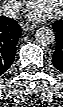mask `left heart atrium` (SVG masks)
Masks as SVG:
<instances>
[{
    "mask_svg": "<svg viewBox=\"0 0 63 107\" xmlns=\"http://www.w3.org/2000/svg\"><path fill=\"white\" fill-rule=\"evenodd\" d=\"M46 11L38 8V7H33L31 12H30V17L33 19H40L46 15Z\"/></svg>",
    "mask_w": 63,
    "mask_h": 107,
    "instance_id": "39dd6f15",
    "label": "left heart atrium"
}]
</instances>
